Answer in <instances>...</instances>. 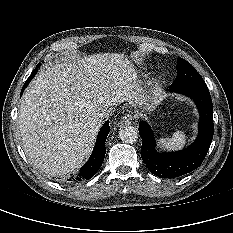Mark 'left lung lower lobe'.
I'll return each instance as SVG.
<instances>
[{"instance_id": "obj_1", "label": "left lung lower lobe", "mask_w": 233, "mask_h": 233, "mask_svg": "<svg viewBox=\"0 0 233 233\" xmlns=\"http://www.w3.org/2000/svg\"><path fill=\"white\" fill-rule=\"evenodd\" d=\"M169 91L189 96L200 113L199 134L195 142L178 152L159 153L155 150L154 134L145 121L139 123L142 138L141 157L148 169L158 177L173 178L189 173L203 162L213 138V105L207 85H183Z\"/></svg>"}]
</instances>
